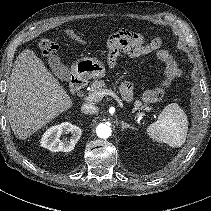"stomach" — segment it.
<instances>
[{"instance_id":"stomach-1","label":"stomach","mask_w":211,"mask_h":211,"mask_svg":"<svg viewBox=\"0 0 211 211\" xmlns=\"http://www.w3.org/2000/svg\"><path fill=\"white\" fill-rule=\"evenodd\" d=\"M72 71L79 77L102 78L106 75L103 62L96 58H82L72 66Z\"/></svg>"}]
</instances>
